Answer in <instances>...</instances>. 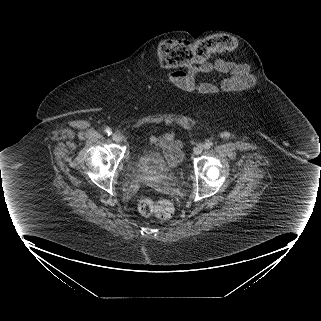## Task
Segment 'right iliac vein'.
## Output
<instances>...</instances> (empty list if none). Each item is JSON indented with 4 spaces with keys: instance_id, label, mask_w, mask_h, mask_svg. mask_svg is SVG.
<instances>
[{
    "instance_id": "1",
    "label": "right iliac vein",
    "mask_w": 321,
    "mask_h": 321,
    "mask_svg": "<svg viewBox=\"0 0 321 321\" xmlns=\"http://www.w3.org/2000/svg\"><path fill=\"white\" fill-rule=\"evenodd\" d=\"M112 139L117 143H120L122 141V137L118 133H114L112 135Z\"/></svg>"
}]
</instances>
